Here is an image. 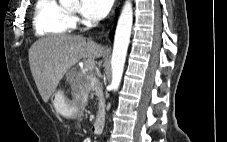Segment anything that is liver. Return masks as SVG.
I'll list each match as a JSON object with an SVG mask.
<instances>
[{
	"instance_id": "liver-1",
	"label": "liver",
	"mask_w": 227,
	"mask_h": 142,
	"mask_svg": "<svg viewBox=\"0 0 227 142\" xmlns=\"http://www.w3.org/2000/svg\"><path fill=\"white\" fill-rule=\"evenodd\" d=\"M106 54V48L81 35H50L29 49L32 76L44 102H48L60 80L82 58L88 65Z\"/></svg>"
}]
</instances>
